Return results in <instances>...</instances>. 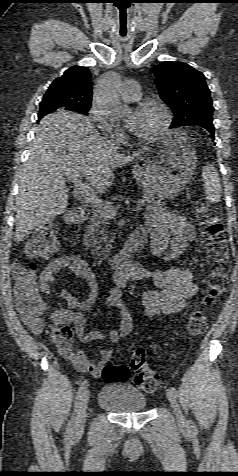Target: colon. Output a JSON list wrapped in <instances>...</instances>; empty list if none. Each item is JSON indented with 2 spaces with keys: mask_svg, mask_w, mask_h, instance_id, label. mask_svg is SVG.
<instances>
[{
  "mask_svg": "<svg viewBox=\"0 0 238 476\" xmlns=\"http://www.w3.org/2000/svg\"><path fill=\"white\" fill-rule=\"evenodd\" d=\"M196 217L201 231V245L212 262L208 279V292L204 305L212 303L228 289L227 240L221 214L208 204L197 208ZM57 228L46 225L36 231L28 242L22 256L12 265L14 298L22 319L35 331L43 328L44 311L36 283L35 269L39 261L48 259L57 249ZM207 318L203 310L194 311L188 320V331L197 335L205 331ZM53 337L51 338V340ZM130 369L134 372V382L147 393L155 392L160 386L159 375L149 366L144 349L133 347L130 350ZM105 382H122L129 378V368L125 365L109 364L103 368Z\"/></svg>",
  "mask_w": 238,
  "mask_h": 476,
  "instance_id": "colon-1",
  "label": "colon"
}]
</instances>
